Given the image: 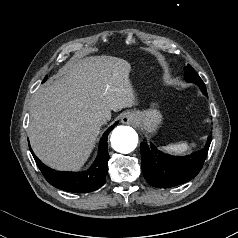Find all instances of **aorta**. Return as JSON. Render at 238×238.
Instances as JSON below:
<instances>
[{"mask_svg":"<svg viewBox=\"0 0 238 238\" xmlns=\"http://www.w3.org/2000/svg\"><path fill=\"white\" fill-rule=\"evenodd\" d=\"M112 148L123 154L132 152L138 144V134L129 126H117L111 134Z\"/></svg>","mask_w":238,"mask_h":238,"instance_id":"762f6f07","label":"aorta"}]
</instances>
